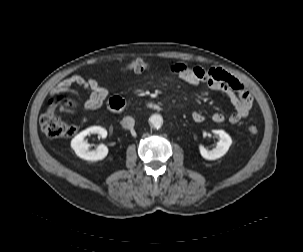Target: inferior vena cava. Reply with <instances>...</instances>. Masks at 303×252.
<instances>
[{"label":"inferior vena cava","mask_w":303,"mask_h":252,"mask_svg":"<svg viewBox=\"0 0 303 252\" xmlns=\"http://www.w3.org/2000/svg\"><path fill=\"white\" fill-rule=\"evenodd\" d=\"M123 128L125 129H131L134 127V124H135V120L130 117V116H127V117H124L122 122H121Z\"/></svg>","instance_id":"1"}]
</instances>
